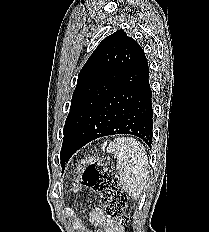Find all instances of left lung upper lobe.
Here are the masks:
<instances>
[{
    "instance_id": "1",
    "label": "left lung upper lobe",
    "mask_w": 209,
    "mask_h": 232,
    "mask_svg": "<svg viewBox=\"0 0 209 232\" xmlns=\"http://www.w3.org/2000/svg\"><path fill=\"white\" fill-rule=\"evenodd\" d=\"M140 45L123 30L106 37L82 67L64 126L60 153L64 167L69 158L73 135L89 113L102 103L124 79Z\"/></svg>"
}]
</instances>
